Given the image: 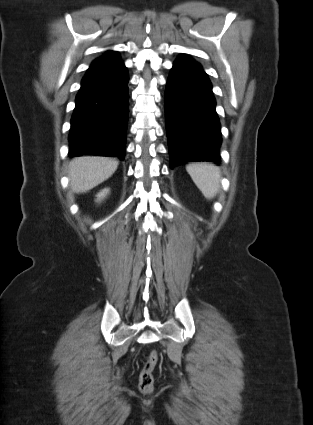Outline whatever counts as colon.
Here are the masks:
<instances>
[{"mask_svg":"<svg viewBox=\"0 0 313 425\" xmlns=\"http://www.w3.org/2000/svg\"><path fill=\"white\" fill-rule=\"evenodd\" d=\"M159 361V354L157 351L153 350L148 355L142 370L139 375V388L141 392L149 394L154 389V370Z\"/></svg>","mask_w":313,"mask_h":425,"instance_id":"obj_1","label":"colon"}]
</instances>
